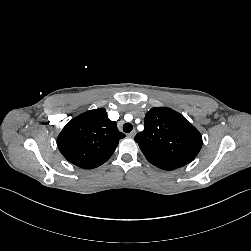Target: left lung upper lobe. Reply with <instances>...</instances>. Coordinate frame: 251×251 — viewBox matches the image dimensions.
<instances>
[{"instance_id": "obj_1", "label": "left lung upper lobe", "mask_w": 251, "mask_h": 251, "mask_svg": "<svg viewBox=\"0 0 251 251\" xmlns=\"http://www.w3.org/2000/svg\"><path fill=\"white\" fill-rule=\"evenodd\" d=\"M144 131L135 141L146 159L163 170H174L191 162L202 146L200 132L181 114L154 107L147 112Z\"/></svg>"}]
</instances>
